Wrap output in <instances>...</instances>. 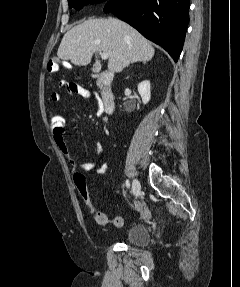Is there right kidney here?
Listing matches in <instances>:
<instances>
[{"mask_svg": "<svg viewBox=\"0 0 240 287\" xmlns=\"http://www.w3.org/2000/svg\"><path fill=\"white\" fill-rule=\"evenodd\" d=\"M150 81L145 80L138 84V92L142 98L143 104H147L151 98Z\"/></svg>", "mask_w": 240, "mask_h": 287, "instance_id": "obj_1", "label": "right kidney"}]
</instances>
